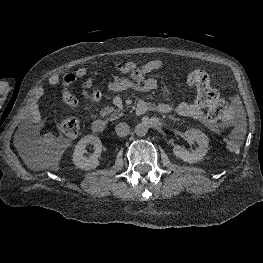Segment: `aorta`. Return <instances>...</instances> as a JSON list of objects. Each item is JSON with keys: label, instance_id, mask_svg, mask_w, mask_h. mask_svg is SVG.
<instances>
[{"label": "aorta", "instance_id": "1", "mask_svg": "<svg viewBox=\"0 0 263 263\" xmlns=\"http://www.w3.org/2000/svg\"><path fill=\"white\" fill-rule=\"evenodd\" d=\"M135 134L137 136H145L148 132V126L144 123H138L136 126H135Z\"/></svg>", "mask_w": 263, "mask_h": 263}]
</instances>
